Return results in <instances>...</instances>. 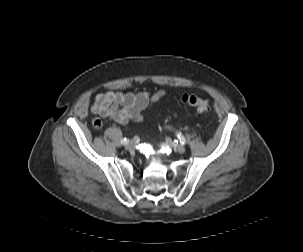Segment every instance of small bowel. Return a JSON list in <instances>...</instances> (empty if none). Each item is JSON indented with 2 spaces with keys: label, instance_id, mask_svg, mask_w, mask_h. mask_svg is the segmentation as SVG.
<instances>
[{
  "label": "small bowel",
  "instance_id": "c3829d8e",
  "mask_svg": "<svg viewBox=\"0 0 303 252\" xmlns=\"http://www.w3.org/2000/svg\"><path fill=\"white\" fill-rule=\"evenodd\" d=\"M164 89L150 92H128L110 90L96 95L92 111L103 118H110L120 124L143 120L142 111L166 98Z\"/></svg>",
  "mask_w": 303,
  "mask_h": 252
}]
</instances>
